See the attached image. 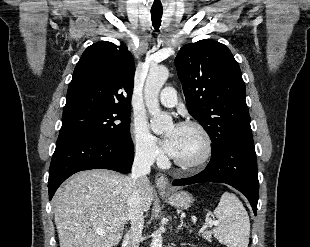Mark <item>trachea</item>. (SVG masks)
Returning a JSON list of instances; mask_svg holds the SVG:
<instances>
[{
	"instance_id": "obj_1",
	"label": "trachea",
	"mask_w": 310,
	"mask_h": 247,
	"mask_svg": "<svg viewBox=\"0 0 310 247\" xmlns=\"http://www.w3.org/2000/svg\"><path fill=\"white\" fill-rule=\"evenodd\" d=\"M162 10H151L152 25L158 30L161 25Z\"/></svg>"
}]
</instances>
